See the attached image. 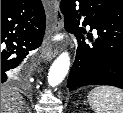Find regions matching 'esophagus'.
<instances>
[{"label":"esophagus","mask_w":123,"mask_h":113,"mask_svg":"<svg viewBox=\"0 0 123 113\" xmlns=\"http://www.w3.org/2000/svg\"><path fill=\"white\" fill-rule=\"evenodd\" d=\"M48 8L52 11V15L48 22L46 39L42 47V59L44 61L52 60L58 54V46L51 43V36L63 29V14L60 10V3L57 0L47 2Z\"/></svg>","instance_id":"1"}]
</instances>
